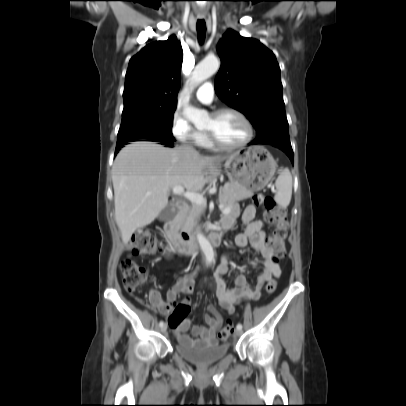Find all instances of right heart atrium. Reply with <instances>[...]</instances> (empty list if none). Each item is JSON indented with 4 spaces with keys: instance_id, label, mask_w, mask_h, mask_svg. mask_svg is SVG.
Instances as JSON below:
<instances>
[{
    "instance_id": "d8ad5b80",
    "label": "right heart atrium",
    "mask_w": 406,
    "mask_h": 406,
    "mask_svg": "<svg viewBox=\"0 0 406 406\" xmlns=\"http://www.w3.org/2000/svg\"><path fill=\"white\" fill-rule=\"evenodd\" d=\"M171 131L177 140L186 144H200L205 135L195 129L179 111L174 112L172 116Z\"/></svg>"
}]
</instances>
